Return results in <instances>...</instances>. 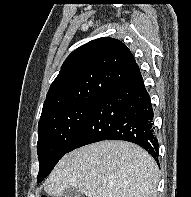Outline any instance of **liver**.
I'll use <instances>...</instances> for the list:
<instances>
[{
  "label": "liver",
  "instance_id": "1",
  "mask_svg": "<svg viewBox=\"0 0 191 197\" xmlns=\"http://www.w3.org/2000/svg\"><path fill=\"white\" fill-rule=\"evenodd\" d=\"M159 169L131 142L106 140L66 154L44 183L51 196L77 188L87 197H156Z\"/></svg>",
  "mask_w": 191,
  "mask_h": 197
}]
</instances>
